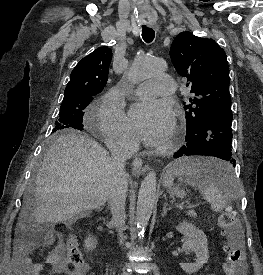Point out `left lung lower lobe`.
<instances>
[{
    "instance_id": "left-lung-lower-lobe-1",
    "label": "left lung lower lobe",
    "mask_w": 263,
    "mask_h": 275,
    "mask_svg": "<svg viewBox=\"0 0 263 275\" xmlns=\"http://www.w3.org/2000/svg\"><path fill=\"white\" fill-rule=\"evenodd\" d=\"M232 118L231 108H221L210 114L200 127L186 131V143L174 153L173 157L213 156L229 161L235 166L231 152Z\"/></svg>"
}]
</instances>
